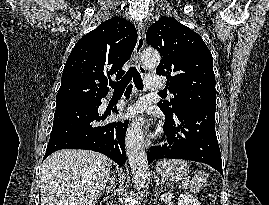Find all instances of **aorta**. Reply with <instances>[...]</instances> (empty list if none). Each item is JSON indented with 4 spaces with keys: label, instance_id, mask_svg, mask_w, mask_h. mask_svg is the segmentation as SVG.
Masks as SVG:
<instances>
[{
    "label": "aorta",
    "instance_id": "762f6f07",
    "mask_svg": "<svg viewBox=\"0 0 269 205\" xmlns=\"http://www.w3.org/2000/svg\"><path fill=\"white\" fill-rule=\"evenodd\" d=\"M141 59L144 65L156 68L160 63V55L154 49H145ZM142 119L133 122L127 130L126 149L131 172L133 175L134 186L139 190L148 178V161L145 152Z\"/></svg>",
    "mask_w": 269,
    "mask_h": 205
}]
</instances>
